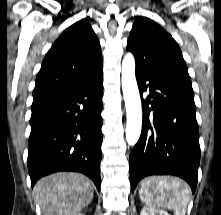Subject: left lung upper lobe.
I'll use <instances>...</instances> for the list:
<instances>
[{"label": "left lung upper lobe", "instance_id": "left-lung-upper-lobe-1", "mask_svg": "<svg viewBox=\"0 0 221 215\" xmlns=\"http://www.w3.org/2000/svg\"><path fill=\"white\" fill-rule=\"evenodd\" d=\"M136 67L161 71L178 76L191 84L186 63L177 42L160 25L146 17H139L132 27L127 42Z\"/></svg>", "mask_w": 221, "mask_h": 215}]
</instances>
